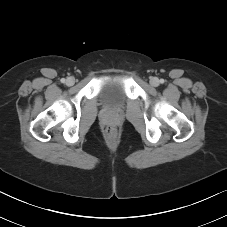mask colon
<instances>
[{
  "label": "colon",
  "instance_id": "obj_1",
  "mask_svg": "<svg viewBox=\"0 0 227 227\" xmlns=\"http://www.w3.org/2000/svg\"><path fill=\"white\" fill-rule=\"evenodd\" d=\"M105 134H106V136L108 137V138H110V139H113V138H115V135H116V129H115V127L114 126H112V125H107L106 127H105Z\"/></svg>",
  "mask_w": 227,
  "mask_h": 227
}]
</instances>
